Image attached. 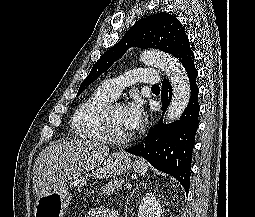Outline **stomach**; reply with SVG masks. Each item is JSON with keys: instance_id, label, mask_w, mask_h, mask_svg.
Wrapping results in <instances>:
<instances>
[{"instance_id": "stomach-1", "label": "stomach", "mask_w": 255, "mask_h": 217, "mask_svg": "<svg viewBox=\"0 0 255 217\" xmlns=\"http://www.w3.org/2000/svg\"><path fill=\"white\" fill-rule=\"evenodd\" d=\"M129 156L122 152L111 153L101 165L95 169L75 176L70 181V186L82 187L89 180L104 178L106 176L122 175L131 168ZM69 205L68 188H60L38 196L34 204V217H64Z\"/></svg>"}]
</instances>
